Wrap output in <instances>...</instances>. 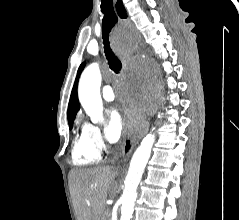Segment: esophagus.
Instances as JSON below:
<instances>
[{"mask_svg": "<svg viewBox=\"0 0 239 220\" xmlns=\"http://www.w3.org/2000/svg\"><path fill=\"white\" fill-rule=\"evenodd\" d=\"M114 3H115L116 10H117L119 17L122 19L127 18L128 12H127V10H125L122 0H114ZM131 56L138 57L139 51L132 53ZM142 125H143L142 131L139 134L132 135L130 132H128L125 142L122 146V152H121V161L122 162H125L130 157L138 140L143 136L144 133L147 132L148 126H149L148 120L144 119Z\"/></svg>", "mask_w": 239, "mask_h": 220, "instance_id": "esophagus-1", "label": "esophagus"}]
</instances>
